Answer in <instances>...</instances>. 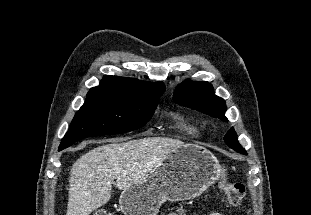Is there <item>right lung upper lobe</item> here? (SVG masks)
<instances>
[{
	"instance_id": "right-lung-upper-lobe-1",
	"label": "right lung upper lobe",
	"mask_w": 311,
	"mask_h": 215,
	"mask_svg": "<svg viewBox=\"0 0 311 215\" xmlns=\"http://www.w3.org/2000/svg\"><path fill=\"white\" fill-rule=\"evenodd\" d=\"M165 91L162 82H143L137 79L106 76L99 86L91 88L88 94H105L134 99H156Z\"/></svg>"
}]
</instances>
